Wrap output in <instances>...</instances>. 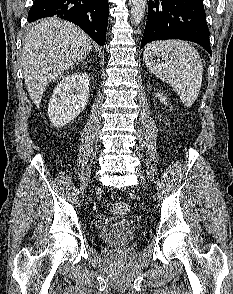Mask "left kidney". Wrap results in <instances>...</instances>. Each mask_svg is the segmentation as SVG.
<instances>
[{"label":"left kidney","instance_id":"5707ae66","mask_svg":"<svg viewBox=\"0 0 233 294\" xmlns=\"http://www.w3.org/2000/svg\"><path fill=\"white\" fill-rule=\"evenodd\" d=\"M156 96H157V97L160 99V101L163 102L165 105L167 104V103H166V98L163 97V95H160L159 93H157Z\"/></svg>","mask_w":233,"mask_h":294}]
</instances>
